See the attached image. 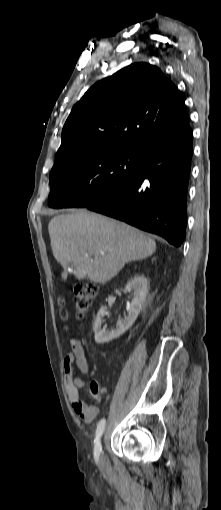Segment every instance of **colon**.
<instances>
[{
  "mask_svg": "<svg viewBox=\"0 0 221 510\" xmlns=\"http://www.w3.org/2000/svg\"><path fill=\"white\" fill-rule=\"evenodd\" d=\"M96 295L97 287L92 283H82L76 286L74 305L75 315L77 318L81 319L88 313ZM60 314L64 319L68 317V311L65 308L61 309ZM90 398L91 405L89 406L97 408L101 402V394L99 385L96 381H92L90 383Z\"/></svg>",
  "mask_w": 221,
  "mask_h": 510,
  "instance_id": "5ec220e1",
  "label": "colon"
}]
</instances>
